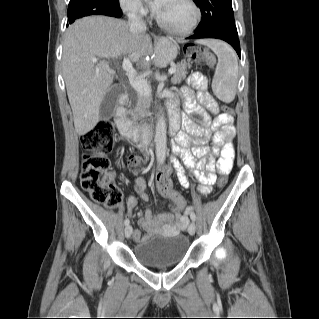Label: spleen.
Wrapping results in <instances>:
<instances>
[{
    "instance_id": "3e777b00",
    "label": "spleen",
    "mask_w": 319,
    "mask_h": 319,
    "mask_svg": "<svg viewBox=\"0 0 319 319\" xmlns=\"http://www.w3.org/2000/svg\"><path fill=\"white\" fill-rule=\"evenodd\" d=\"M204 44L218 57V64L212 81L215 96L225 102L234 100L238 82V62L234 50L225 42L206 40Z\"/></svg>"
}]
</instances>
